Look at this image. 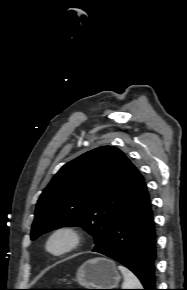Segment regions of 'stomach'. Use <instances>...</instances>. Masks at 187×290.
Returning <instances> with one entry per match:
<instances>
[{"label":"stomach","instance_id":"1","mask_svg":"<svg viewBox=\"0 0 187 290\" xmlns=\"http://www.w3.org/2000/svg\"><path fill=\"white\" fill-rule=\"evenodd\" d=\"M120 279L115 263L101 257L87 260L76 273V281L85 289H116Z\"/></svg>","mask_w":187,"mask_h":290}]
</instances>
